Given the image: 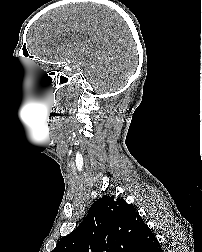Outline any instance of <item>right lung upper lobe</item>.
I'll return each mask as SVG.
<instances>
[{
  "label": "right lung upper lobe",
  "mask_w": 202,
  "mask_h": 252,
  "mask_svg": "<svg viewBox=\"0 0 202 252\" xmlns=\"http://www.w3.org/2000/svg\"><path fill=\"white\" fill-rule=\"evenodd\" d=\"M159 245L134 206L105 195L52 252H153Z\"/></svg>",
  "instance_id": "right-lung-upper-lobe-1"
}]
</instances>
